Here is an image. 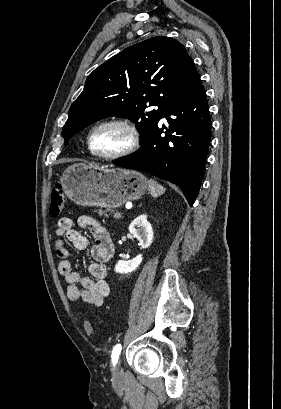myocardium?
I'll return each mask as SVG.
<instances>
[{
	"mask_svg": "<svg viewBox=\"0 0 281 409\" xmlns=\"http://www.w3.org/2000/svg\"><path fill=\"white\" fill-rule=\"evenodd\" d=\"M107 128H118L122 130L127 136V142L122 148L113 153L108 154L98 153L95 150L94 145L95 136L99 131ZM140 142L141 134L134 124L125 119L111 118L103 120L93 127L89 135L88 145L91 153L94 156L105 160H117L133 153L139 147Z\"/></svg>",
	"mask_w": 281,
	"mask_h": 409,
	"instance_id": "1",
	"label": "myocardium"
}]
</instances>
